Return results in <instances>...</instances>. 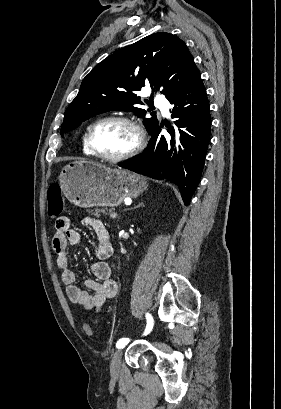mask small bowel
I'll list each match as a JSON object with an SVG mask.
<instances>
[{
    "mask_svg": "<svg viewBox=\"0 0 281 409\" xmlns=\"http://www.w3.org/2000/svg\"><path fill=\"white\" fill-rule=\"evenodd\" d=\"M83 222L90 226L96 235L94 248L96 262L91 266L95 279L85 280L84 284L88 290H83L75 284L76 273L69 267L68 247L80 242V234L71 228L68 217H59L56 220L52 247L56 253L57 266L61 270V280L66 286L69 300L88 310L98 311L107 300L114 298L118 293V283L112 278V268L108 263L113 255V245L108 230L100 220L85 217Z\"/></svg>",
    "mask_w": 281,
    "mask_h": 409,
    "instance_id": "small-bowel-1",
    "label": "small bowel"
}]
</instances>
